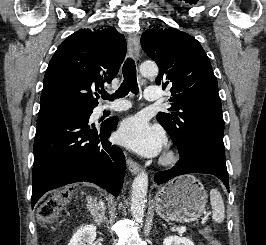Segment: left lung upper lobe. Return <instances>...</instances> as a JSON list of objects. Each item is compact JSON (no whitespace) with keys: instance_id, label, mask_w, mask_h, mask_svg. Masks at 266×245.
<instances>
[{"instance_id":"obj_1","label":"left lung upper lobe","mask_w":266,"mask_h":245,"mask_svg":"<svg viewBox=\"0 0 266 245\" xmlns=\"http://www.w3.org/2000/svg\"><path fill=\"white\" fill-rule=\"evenodd\" d=\"M146 54L159 66L156 83L171 86V113L160 112L157 120L179 151L190 138L209 134L223 138L224 121L218 84L200 43L174 28L147 30L141 38Z\"/></svg>"}]
</instances>
